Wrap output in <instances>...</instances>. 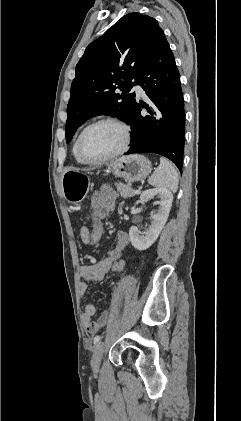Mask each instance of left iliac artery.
Segmentation results:
<instances>
[{
    "label": "left iliac artery",
    "instance_id": "44dca946",
    "mask_svg": "<svg viewBox=\"0 0 241 421\" xmlns=\"http://www.w3.org/2000/svg\"><path fill=\"white\" fill-rule=\"evenodd\" d=\"M100 340H101V336H96V337L94 338V342H95V343H99V342H100Z\"/></svg>",
    "mask_w": 241,
    "mask_h": 421
}]
</instances>
